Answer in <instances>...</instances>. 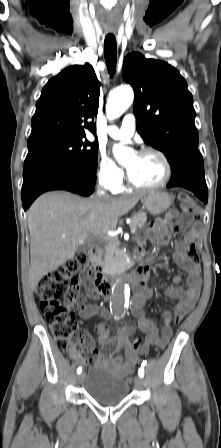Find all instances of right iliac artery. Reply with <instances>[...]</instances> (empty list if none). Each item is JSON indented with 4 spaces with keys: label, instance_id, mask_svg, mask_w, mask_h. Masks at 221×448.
I'll use <instances>...</instances> for the list:
<instances>
[{
    "label": "right iliac artery",
    "instance_id": "obj_1",
    "mask_svg": "<svg viewBox=\"0 0 221 448\" xmlns=\"http://www.w3.org/2000/svg\"><path fill=\"white\" fill-rule=\"evenodd\" d=\"M81 372H82V367H79V368L77 369V373L80 374Z\"/></svg>",
    "mask_w": 221,
    "mask_h": 448
}]
</instances>
